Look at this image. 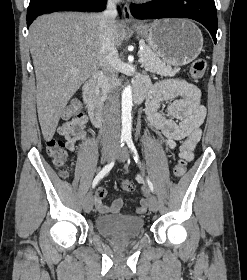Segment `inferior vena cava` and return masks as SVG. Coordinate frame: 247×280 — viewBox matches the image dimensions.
Instances as JSON below:
<instances>
[{
  "instance_id": "obj_1",
  "label": "inferior vena cava",
  "mask_w": 247,
  "mask_h": 280,
  "mask_svg": "<svg viewBox=\"0 0 247 280\" xmlns=\"http://www.w3.org/2000/svg\"><path fill=\"white\" fill-rule=\"evenodd\" d=\"M120 0H108L106 9L99 15V64L111 79L118 71L119 56L114 43L116 33V6ZM120 138L119 99L115 90L110 91L104 114L103 142H116Z\"/></svg>"
}]
</instances>
